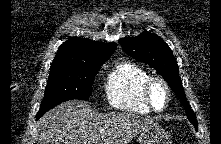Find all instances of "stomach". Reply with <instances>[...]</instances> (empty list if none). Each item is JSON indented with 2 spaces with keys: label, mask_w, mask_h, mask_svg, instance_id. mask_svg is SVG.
I'll return each instance as SVG.
<instances>
[{
  "label": "stomach",
  "mask_w": 221,
  "mask_h": 144,
  "mask_svg": "<svg viewBox=\"0 0 221 144\" xmlns=\"http://www.w3.org/2000/svg\"><path fill=\"white\" fill-rule=\"evenodd\" d=\"M138 140L139 144H171L169 133L159 126L145 129Z\"/></svg>",
  "instance_id": "obj_1"
}]
</instances>
